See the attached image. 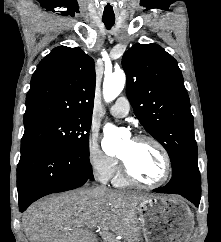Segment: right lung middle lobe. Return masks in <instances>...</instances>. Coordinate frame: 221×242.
Segmentation results:
<instances>
[{"label":"right lung middle lobe","instance_id":"obj_1","mask_svg":"<svg viewBox=\"0 0 221 242\" xmlns=\"http://www.w3.org/2000/svg\"><path fill=\"white\" fill-rule=\"evenodd\" d=\"M92 117L48 119L25 125L21 144L43 142L89 156Z\"/></svg>","mask_w":221,"mask_h":242}]
</instances>
